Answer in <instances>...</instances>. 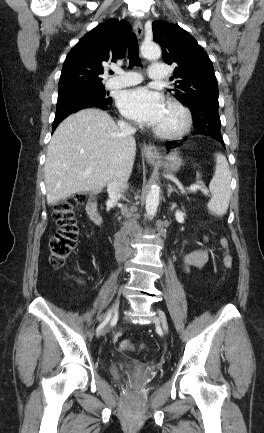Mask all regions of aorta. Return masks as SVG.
Listing matches in <instances>:
<instances>
[{"instance_id": "aorta-1", "label": "aorta", "mask_w": 264, "mask_h": 433, "mask_svg": "<svg viewBox=\"0 0 264 433\" xmlns=\"http://www.w3.org/2000/svg\"><path fill=\"white\" fill-rule=\"evenodd\" d=\"M141 54L147 59H158L161 56L160 47L153 42L143 43L141 46ZM160 187L157 184L151 186L146 197L145 209L148 216H153L159 206Z\"/></svg>"}]
</instances>
